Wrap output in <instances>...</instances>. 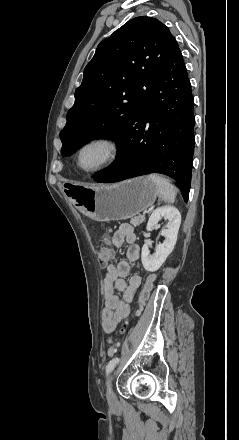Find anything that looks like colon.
Masks as SVG:
<instances>
[{
    "mask_svg": "<svg viewBox=\"0 0 239 440\" xmlns=\"http://www.w3.org/2000/svg\"><path fill=\"white\" fill-rule=\"evenodd\" d=\"M111 256H112V250L108 246L101 247L98 250L99 261L102 265H106L109 262V260L111 259ZM154 280H155V276L150 275L144 284V287L140 293L139 300H138V307L136 309L137 315L140 314L143 306L145 305L146 301L148 300V298L150 296V293L153 289ZM124 329H125V327H122L120 329V333H123ZM117 349H118L117 343H114L113 345H111L107 350L108 356L111 357V356L115 355V353L117 352Z\"/></svg>",
    "mask_w": 239,
    "mask_h": 440,
    "instance_id": "5ec220e1",
    "label": "colon"
}]
</instances>
